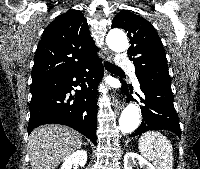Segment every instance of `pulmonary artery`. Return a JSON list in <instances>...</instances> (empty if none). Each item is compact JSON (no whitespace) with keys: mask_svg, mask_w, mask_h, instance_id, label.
Instances as JSON below:
<instances>
[{"mask_svg":"<svg viewBox=\"0 0 200 169\" xmlns=\"http://www.w3.org/2000/svg\"><path fill=\"white\" fill-rule=\"evenodd\" d=\"M116 63L119 66H124V67H128L131 75L133 77H135V69L130 65V60L124 56V55H119L116 59Z\"/></svg>","mask_w":200,"mask_h":169,"instance_id":"e3ab8cb5","label":"pulmonary artery"}]
</instances>
